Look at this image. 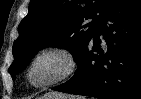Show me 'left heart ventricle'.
<instances>
[{
  "instance_id": "left-heart-ventricle-1",
  "label": "left heart ventricle",
  "mask_w": 141,
  "mask_h": 99,
  "mask_svg": "<svg viewBox=\"0 0 141 99\" xmlns=\"http://www.w3.org/2000/svg\"><path fill=\"white\" fill-rule=\"evenodd\" d=\"M67 70L66 60L57 54H50L37 61L31 72L35 84H44L62 76Z\"/></svg>"
}]
</instances>
